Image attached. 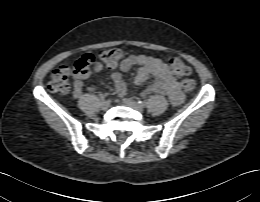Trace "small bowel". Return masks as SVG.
<instances>
[{
  "label": "small bowel",
  "instance_id": "small-bowel-1",
  "mask_svg": "<svg viewBox=\"0 0 260 202\" xmlns=\"http://www.w3.org/2000/svg\"><path fill=\"white\" fill-rule=\"evenodd\" d=\"M133 66H139L134 77V84L141 85L150 77L154 80L142 92V96L150 93H161L166 95L170 102L177 106L183 100L181 84L177 82L170 72L168 66L159 58L146 55H128L122 59L119 69L111 75L116 94L123 98L127 94V86L123 79V74L128 72ZM102 66L96 64L94 71L101 70ZM90 70H86L74 75V91L75 97H79L84 89L83 81L90 76ZM88 90L94 91L95 87H89Z\"/></svg>",
  "mask_w": 260,
  "mask_h": 202
}]
</instances>
